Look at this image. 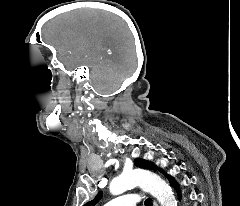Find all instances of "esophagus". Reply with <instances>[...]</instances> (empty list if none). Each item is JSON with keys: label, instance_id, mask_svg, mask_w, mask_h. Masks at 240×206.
<instances>
[{"label": "esophagus", "instance_id": "34e87169", "mask_svg": "<svg viewBox=\"0 0 240 206\" xmlns=\"http://www.w3.org/2000/svg\"><path fill=\"white\" fill-rule=\"evenodd\" d=\"M153 206H158V203L155 200L153 201Z\"/></svg>", "mask_w": 240, "mask_h": 206}]
</instances>
